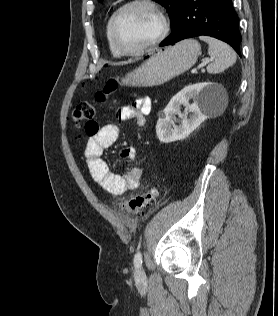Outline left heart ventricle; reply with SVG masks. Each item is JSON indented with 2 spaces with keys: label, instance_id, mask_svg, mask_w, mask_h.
Listing matches in <instances>:
<instances>
[{
  "label": "left heart ventricle",
  "instance_id": "obj_1",
  "mask_svg": "<svg viewBox=\"0 0 278 316\" xmlns=\"http://www.w3.org/2000/svg\"><path fill=\"white\" fill-rule=\"evenodd\" d=\"M160 29L159 19L147 6L127 9L118 19L117 36L127 49H138L150 43Z\"/></svg>",
  "mask_w": 278,
  "mask_h": 316
}]
</instances>
